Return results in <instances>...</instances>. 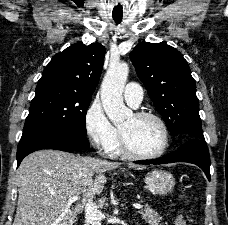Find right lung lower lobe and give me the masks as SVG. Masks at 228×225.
Returning <instances> with one entry per match:
<instances>
[{
    "instance_id": "1",
    "label": "right lung lower lobe",
    "mask_w": 228,
    "mask_h": 225,
    "mask_svg": "<svg viewBox=\"0 0 228 225\" xmlns=\"http://www.w3.org/2000/svg\"><path fill=\"white\" fill-rule=\"evenodd\" d=\"M86 134L58 125L41 123L24 126L17 148V167L28 154L41 149H55L66 152L87 150Z\"/></svg>"
}]
</instances>
